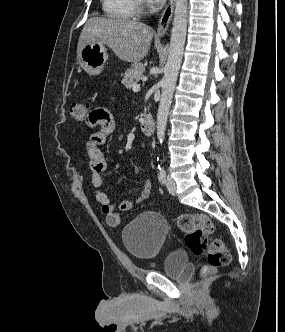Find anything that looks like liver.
Segmentation results:
<instances>
[{"instance_id":"obj_1","label":"liver","mask_w":285,"mask_h":332,"mask_svg":"<svg viewBox=\"0 0 285 332\" xmlns=\"http://www.w3.org/2000/svg\"><path fill=\"white\" fill-rule=\"evenodd\" d=\"M154 31L129 19L92 17L85 23L77 45V57L88 43L107 45L123 61L137 63L146 57Z\"/></svg>"}]
</instances>
